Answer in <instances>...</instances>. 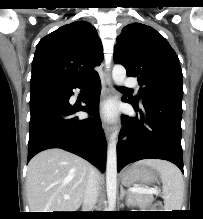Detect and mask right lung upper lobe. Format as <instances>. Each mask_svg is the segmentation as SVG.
<instances>
[{"label": "right lung upper lobe", "instance_id": "1", "mask_svg": "<svg viewBox=\"0 0 203 219\" xmlns=\"http://www.w3.org/2000/svg\"><path fill=\"white\" fill-rule=\"evenodd\" d=\"M103 59L102 45L95 28L75 21L43 37L32 61L31 82L51 80L74 82L97 75L93 69Z\"/></svg>", "mask_w": 203, "mask_h": 219}]
</instances>
